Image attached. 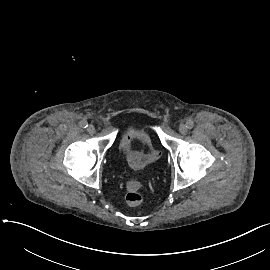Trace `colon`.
Segmentation results:
<instances>
[{
	"label": "colon",
	"instance_id": "colon-1",
	"mask_svg": "<svg viewBox=\"0 0 270 270\" xmlns=\"http://www.w3.org/2000/svg\"><path fill=\"white\" fill-rule=\"evenodd\" d=\"M125 200L129 205H138L142 202V194L139 190L129 188L125 193Z\"/></svg>",
	"mask_w": 270,
	"mask_h": 270
}]
</instances>
